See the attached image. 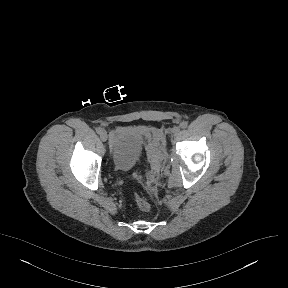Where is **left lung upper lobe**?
Instances as JSON below:
<instances>
[{"label":"left lung upper lobe","instance_id":"5c2ea615","mask_svg":"<svg viewBox=\"0 0 288 288\" xmlns=\"http://www.w3.org/2000/svg\"><path fill=\"white\" fill-rule=\"evenodd\" d=\"M258 214H259V211H255V212H253L251 215H252V218H255L256 216H258Z\"/></svg>","mask_w":288,"mask_h":288}]
</instances>
